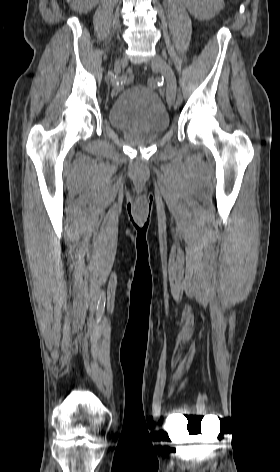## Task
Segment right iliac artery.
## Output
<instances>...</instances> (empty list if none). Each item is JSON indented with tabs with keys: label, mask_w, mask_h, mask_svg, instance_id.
Instances as JSON below:
<instances>
[{
	"label": "right iliac artery",
	"mask_w": 280,
	"mask_h": 472,
	"mask_svg": "<svg viewBox=\"0 0 280 472\" xmlns=\"http://www.w3.org/2000/svg\"><path fill=\"white\" fill-rule=\"evenodd\" d=\"M128 72L130 73V72H131V70L129 69V70H128ZM129 79H130V77H129Z\"/></svg>",
	"instance_id": "obj_1"
}]
</instances>
